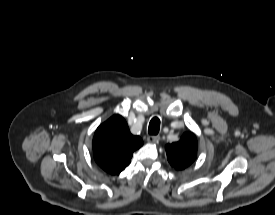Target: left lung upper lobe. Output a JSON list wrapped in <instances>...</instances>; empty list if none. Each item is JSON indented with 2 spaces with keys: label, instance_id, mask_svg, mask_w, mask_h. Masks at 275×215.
<instances>
[{
  "label": "left lung upper lobe",
  "instance_id": "5c2ea615",
  "mask_svg": "<svg viewBox=\"0 0 275 215\" xmlns=\"http://www.w3.org/2000/svg\"><path fill=\"white\" fill-rule=\"evenodd\" d=\"M197 148L196 136L184 133L180 141L166 146L168 161L177 170L185 169L196 159Z\"/></svg>",
  "mask_w": 275,
  "mask_h": 215
}]
</instances>
